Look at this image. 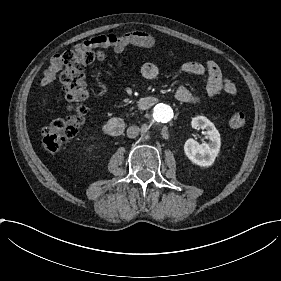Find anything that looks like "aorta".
I'll use <instances>...</instances> for the list:
<instances>
[{"label":"aorta","mask_w":281,"mask_h":281,"mask_svg":"<svg viewBox=\"0 0 281 281\" xmlns=\"http://www.w3.org/2000/svg\"><path fill=\"white\" fill-rule=\"evenodd\" d=\"M152 112L155 123L159 125L170 122L174 116L172 108L163 103L157 104Z\"/></svg>","instance_id":"1"}]
</instances>
